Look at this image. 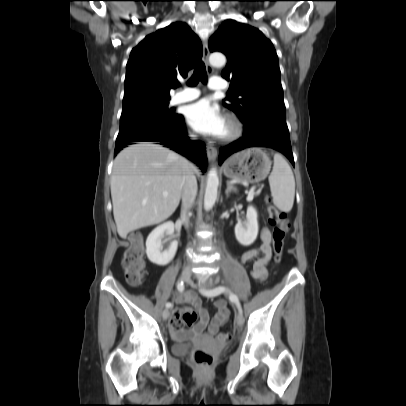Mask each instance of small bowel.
Instances as JSON below:
<instances>
[{
    "instance_id": "1",
    "label": "small bowel",
    "mask_w": 406,
    "mask_h": 406,
    "mask_svg": "<svg viewBox=\"0 0 406 406\" xmlns=\"http://www.w3.org/2000/svg\"><path fill=\"white\" fill-rule=\"evenodd\" d=\"M271 234L268 228L264 227L260 233V245L258 248L248 250L241 255V262H253V266L250 270V275L255 280L263 282L267 278V265L271 257ZM175 301L179 304H186L192 306L199 315V321L194 325L190 334L193 336H200L205 329L206 338L214 336L220 326L224 324L229 317V309L224 300H217L214 306L217 310L215 316L210 319L208 311L203 306L201 300L192 291L179 295L175 298ZM186 312H190L187 310ZM170 330L175 337H184L186 333L182 330H176L170 325Z\"/></svg>"
}]
</instances>
